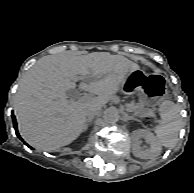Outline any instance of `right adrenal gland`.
<instances>
[{
  "label": "right adrenal gland",
  "instance_id": "2a0ac1e0",
  "mask_svg": "<svg viewBox=\"0 0 194 193\" xmlns=\"http://www.w3.org/2000/svg\"><path fill=\"white\" fill-rule=\"evenodd\" d=\"M92 119H87L86 121V126H85V130L88 128L89 124L91 123Z\"/></svg>",
  "mask_w": 194,
  "mask_h": 193
}]
</instances>
